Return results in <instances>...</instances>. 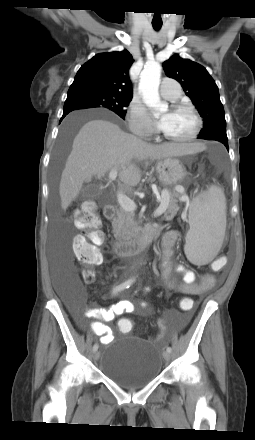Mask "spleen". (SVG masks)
Returning <instances> with one entry per match:
<instances>
[{"mask_svg":"<svg viewBox=\"0 0 255 440\" xmlns=\"http://www.w3.org/2000/svg\"><path fill=\"white\" fill-rule=\"evenodd\" d=\"M189 223L185 254L193 264H206L218 253L225 235L226 200L219 187L211 186L192 201Z\"/></svg>","mask_w":255,"mask_h":440,"instance_id":"3e777b00","label":"spleen"}]
</instances>
